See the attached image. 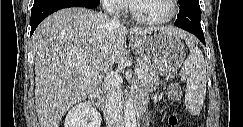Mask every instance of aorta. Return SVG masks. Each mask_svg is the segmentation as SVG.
Here are the masks:
<instances>
[{
  "instance_id": "aorta-1",
  "label": "aorta",
  "mask_w": 243,
  "mask_h": 127,
  "mask_svg": "<svg viewBox=\"0 0 243 127\" xmlns=\"http://www.w3.org/2000/svg\"><path fill=\"white\" fill-rule=\"evenodd\" d=\"M124 126L136 127L135 109L131 99H128L124 105Z\"/></svg>"
}]
</instances>
